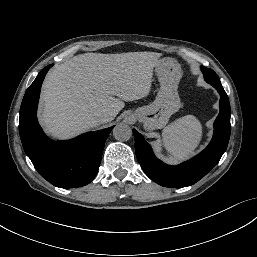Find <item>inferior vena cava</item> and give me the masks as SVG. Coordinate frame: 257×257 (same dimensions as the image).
<instances>
[{
	"instance_id": "602c4592",
	"label": "inferior vena cava",
	"mask_w": 257,
	"mask_h": 257,
	"mask_svg": "<svg viewBox=\"0 0 257 257\" xmlns=\"http://www.w3.org/2000/svg\"><path fill=\"white\" fill-rule=\"evenodd\" d=\"M112 119V114L110 113H103V114H99L97 116V122L100 124L106 123L108 121H110Z\"/></svg>"
}]
</instances>
